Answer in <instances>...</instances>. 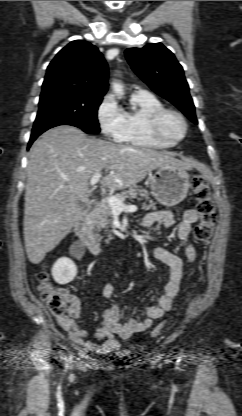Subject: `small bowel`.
<instances>
[{"instance_id":"small-bowel-1","label":"small bowel","mask_w":242,"mask_h":416,"mask_svg":"<svg viewBox=\"0 0 242 416\" xmlns=\"http://www.w3.org/2000/svg\"><path fill=\"white\" fill-rule=\"evenodd\" d=\"M197 220L198 213L193 209L188 210L180 222H177L171 211L161 210L148 213L141 221L142 227L147 230L156 226L166 229L176 227L177 237L184 243L185 260L162 247L155 248L154 256L170 268V276L163 292L158 297L155 295L151 297V304L145 307V317L142 320H121L120 309L116 303L112 302L115 287L112 283H106L102 294L110 304L103 312L101 327L91 334L77 325L75 320L81 315V305L78 299L71 297L69 314L57 318L58 324L67 333L70 341L86 351L109 354L118 348V338L127 339L133 334L148 330L154 320L171 310L179 291L184 268L195 259V249L190 241V234L192 225ZM100 341L103 342L99 343Z\"/></svg>"}]
</instances>
